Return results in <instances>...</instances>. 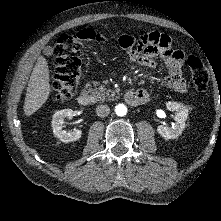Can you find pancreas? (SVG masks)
I'll list each match as a JSON object with an SVG mask.
<instances>
[{
    "instance_id": "1",
    "label": "pancreas",
    "mask_w": 221,
    "mask_h": 221,
    "mask_svg": "<svg viewBox=\"0 0 221 221\" xmlns=\"http://www.w3.org/2000/svg\"><path fill=\"white\" fill-rule=\"evenodd\" d=\"M98 82H93V83H87L86 88L90 93H92L93 99L95 102L97 101H104L106 98L108 100H111L112 97L115 96V92L107 89L103 86H100L98 88L92 89V86H97Z\"/></svg>"
}]
</instances>
